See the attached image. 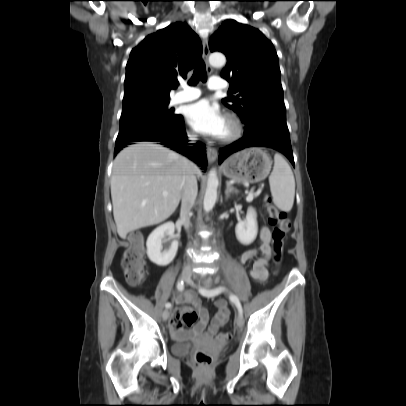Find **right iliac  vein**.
Wrapping results in <instances>:
<instances>
[{"mask_svg": "<svg viewBox=\"0 0 406 406\" xmlns=\"http://www.w3.org/2000/svg\"><path fill=\"white\" fill-rule=\"evenodd\" d=\"M192 276V271L190 268H185L183 269L182 273H181V280L183 281H189L191 279ZM169 317V310H164L163 314H162V318L164 321H166Z\"/></svg>", "mask_w": 406, "mask_h": 406, "instance_id": "1", "label": "right iliac vein"}]
</instances>
